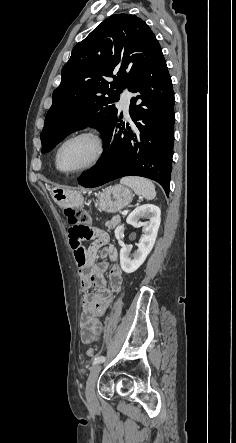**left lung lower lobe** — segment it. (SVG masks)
<instances>
[{"instance_id": "0a47b994", "label": "left lung lower lobe", "mask_w": 236, "mask_h": 443, "mask_svg": "<svg viewBox=\"0 0 236 443\" xmlns=\"http://www.w3.org/2000/svg\"><path fill=\"white\" fill-rule=\"evenodd\" d=\"M128 89L136 93L129 107L133 122L123 131L122 114L118 116L103 135L106 150L98 165L83 172L79 184L97 187L134 175L157 181L168 195L174 142V93L159 43Z\"/></svg>"}]
</instances>
